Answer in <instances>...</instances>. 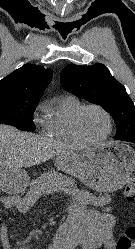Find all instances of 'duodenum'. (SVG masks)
<instances>
[{
  "label": "duodenum",
  "instance_id": "obj_1",
  "mask_svg": "<svg viewBox=\"0 0 135 249\" xmlns=\"http://www.w3.org/2000/svg\"><path fill=\"white\" fill-rule=\"evenodd\" d=\"M92 249V244L86 235H71L60 246L59 249Z\"/></svg>",
  "mask_w": 135,
  "mask_h": 249
}]
</instances>
